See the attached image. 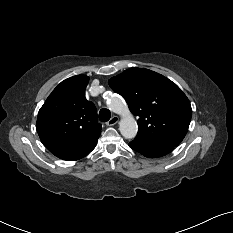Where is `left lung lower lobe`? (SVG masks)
I'll return each instance as SVG.
<instances>
[{
	"mask_svg": "<svg viewBox=\"0 0 233 233\" xmlns=\"http://www.w3.org/2000/svg\"><path fill=\"white\" fill-rule=\"evenodd\" d=\"M129 147L148 158L164 156L174 149V147L170 145L143 141L138 139H134L133 141H131L129 143Z\"/></svg>",
	"mask_w": 233,
	"mask_h": 233,
	"instance_id": "obj_1",
	"label": "left lung lower lobe"
}]
</instances>
